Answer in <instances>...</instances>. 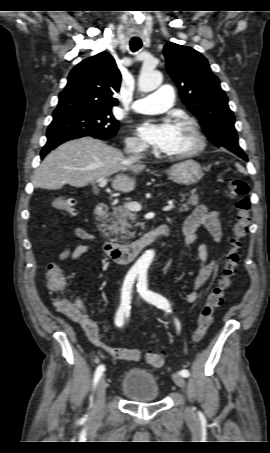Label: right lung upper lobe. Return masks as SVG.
I'll list each match as a JSON object with an SVG mask.
<instances>
[{
    "label": "right lung upper lobe",
    "instance_id": "right-lung-upper-lobe-1",
    "mask_svg": "<svg viewBox=\"0 0 270 453\" xmlns=\"http://www.w3.org/2000/svg\"><path fill=\"white\" fill-rule=\"evenodd\" d=\"M121 74L113 57L102 52L75 66L53 117L86 111H106L118 104L114 97L120 88Z\"/></svg>",
    "mask_w": 270,
    "mask_h": 453
}]
</instances>
